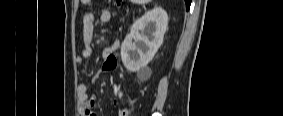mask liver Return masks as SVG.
<instances>
[{"label":"liver","instance_id":"1","mask_svg":"<svg viewBox=\"0 0 283 116\" xmlns=\"http://www.w3.org/2000/svg\"><path fill=\"white\" fill-rule=\"evenodd\" d=\"M136 2H138V3H148V2H150V0H136Z\"/></svg>","mask_w":283,"mask_h":116}]
</instances>
